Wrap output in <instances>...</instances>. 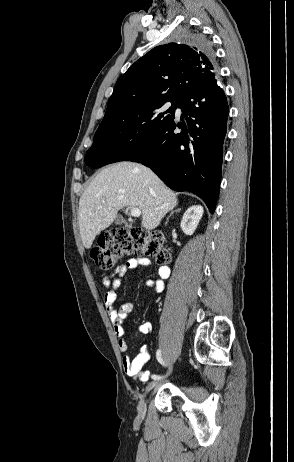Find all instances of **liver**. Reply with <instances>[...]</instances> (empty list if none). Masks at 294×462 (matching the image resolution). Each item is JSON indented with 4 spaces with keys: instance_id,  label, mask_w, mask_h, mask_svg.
Listing matches in <instances>:
<instances>
[{
    "instance_id": "liver-1",
    "label": "liver",
    "mask_w": 294,
    "mask_h": 462,
    "mask_svg": "<svg viewBox=\"0 0 294 462\" xmlns=\"http://www.w3.org/2000/svg\"><path fill=\"white\" fill-rule=\"evenodd\" d=\"M177 204V194L149 168L132 162L110 165L95 176L80 197L78 221L83 245L91 248L95 237L127 206L140 209L141 225L153 230Z\"/></svg>"
}]
</instances>
